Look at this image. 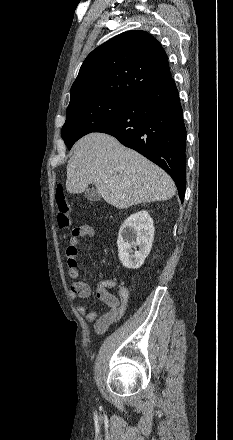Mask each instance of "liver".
<instances>
[{"mask_svg":"<svg viewBox=\"0 0 233 440\" xmlns=\"http://www.w3.org/2000/svg\"><path fill=\"white\" fill-rule=\"evenodd\" d=\"M90 184L108 204L119 209L165 201L176 191L174 181L160 167L114 137L97 132L75 143L67 165L69 193H82Z\"/></svg>","mask_w":233,"mask_h":440,"instance_id":"1","label":"liver"}]
</instances>
